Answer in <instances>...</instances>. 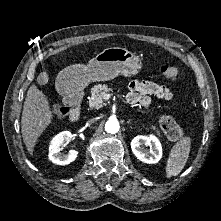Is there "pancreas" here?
Listing matches in <instances>:
<instances>
[{
	"label": "pancreas",
	"mask_w": 221,
	"mask_h": 221,
	"mask_svg": "<svg viewBox=\"0 0 221 221\" xmlns=\"http://www.w3.org/2000/svg\"><path fill=\"white\" fill-rule=\"evenodd\" d=\"M110 91H112V89L109 88L106 84L95 85L91 90L89 106L91 108H96V109L103 107L106 104L104 101V95ZM152 128L155 129V127H152Z\"/></svg>",
	"instance_id": "cf45deb5"
}]
</instances>
